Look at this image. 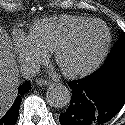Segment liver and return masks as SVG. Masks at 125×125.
I'll use <instances>...</instances> for the list:
<instances>
[{
	"instance_id": "liver-1",
	"label": "liver",
	"mask_w": 125,
	"mask_h": 125,
	"mask_svg": "<svg viewBox=\"0 0 125 125\" xmlns=\"http://www.w3.org/2000/svg\"><path fill=\"white\" fill-rule=\"evenodd\" d=\"M18 86V71L11 52L10 37L0 26V117L15 100Z\"/></svg>"
}]
</instances>
